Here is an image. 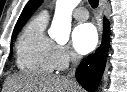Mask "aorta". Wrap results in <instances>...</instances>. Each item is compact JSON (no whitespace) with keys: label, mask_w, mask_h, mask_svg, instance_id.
<instances>
[{"label":"aorta","mask_w":127,"mask_h":92,"mask_svg":"<svg viewBox=\"0 0 127 92\" xmlns=\"http://www.w3.org/2000/svg\"><path fill=\"white\" fill-rule=\"evenodd\" d=\"M80 0H57L54 18L49 30L50 36L58 43H66L71 31L72 11Z\"/></svg>","instance_id":"1"}]
</instances>
